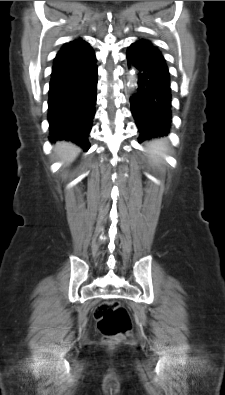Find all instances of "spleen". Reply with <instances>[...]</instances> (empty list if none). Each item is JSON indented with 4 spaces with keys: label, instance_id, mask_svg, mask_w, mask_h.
<instances>
[{
    "label": "spleen",
    "instance_id": "spleen-1",
    "mask_svg": "<svg viewBox=\"0 0 225 395\" xmlns=\"http://www.w3.org/2000/svg\"><path fill=\"white\" fill-rule=\"evenodd\" d=\"M150 157L153 162H158L162 156H164L167 152V145L162 140H156L150 143L148 146Z\"/></svg>",
    "mask_w": 225,
    "mask_h": 395
}]
</instances>
